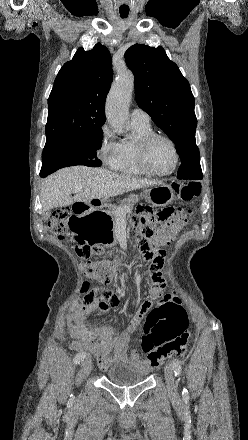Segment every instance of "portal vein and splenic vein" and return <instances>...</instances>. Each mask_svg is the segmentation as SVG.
Returning a JSON list of instances; mask_svg holds the SVG:
<instances>
[{
    "label": "portal vein and splenic vein",
    "mask_w": 248,
    "mask_h": 440,
    "mask_svg": "<svg viewBox=\"0 0 248 440\" xmlns=\"http://www.w3.org/2000/svg\"><path fill=\"white\" fill-rule=\"evenodd\" d=\"M76 191H80V189H77ZM118 219H125L126 213L124 211L118 212Z\"/></svg>",
    "instance_id": "obj_1"
}]
</instances>
